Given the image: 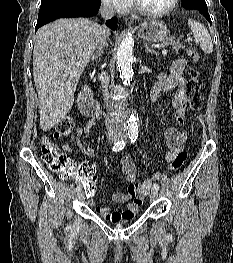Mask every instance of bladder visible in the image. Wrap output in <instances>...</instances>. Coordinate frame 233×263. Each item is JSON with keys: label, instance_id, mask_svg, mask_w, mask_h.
Masks as SVG:
<instances>
[{"label": "bladder", "instance_id": "bladder-1", "mask_svg": "<svg viewBox=\"0 0 233 263\" xmlns=\"http://www.w3.org/2000/svg\"><path fill=\"white\" fill-rule=\"evenodd\" d=\"M126 222H128V220H126V221H123L122 223H126Z\"/></svg>", "mask_w": 233, "mask_h": 263}]
</instances>
